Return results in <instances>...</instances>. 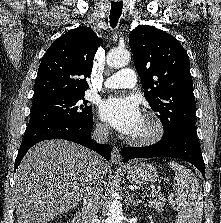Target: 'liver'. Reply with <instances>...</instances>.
I'll return each instance as SVG.
<instances>
[{"label": "liver", "instance_id": "obj_1", "mask_svg": "<svg viewBox=\"0 0 221 223\" xmlns=\"http://www.w3.org/2000/svg\"><path fill=\"white\" fill-rule=\"evenodd\" d=\"M95 156L65 140H47L33 146L15 174L14 198L18 223H47L75 208L82 200ZM98 171L107 165L98 158Z\"/></svg>", "mask_w": 221, "mask_h": 223}]
</instances>
